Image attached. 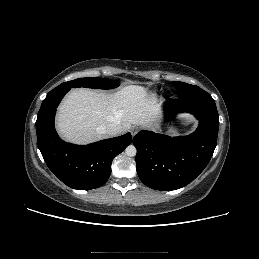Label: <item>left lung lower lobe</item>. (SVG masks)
Returning <instances> with one entry per match:
<instances>
[{
	"label": "left lung lower lobe",
	"instance_id": "left-lung-lower-lobe-1",
	"mask_svg": "<svg viewBox=\"0 0 259 259\" xmlns=\"http://www.w3.org/2000/svg\"><path fill=\"white\" fill-rule=\"evenodd\" d=\"M166 117L189 112L199 119L196 131L188 136L169 137L140 131L134 138L136 167L148 187L176 190L192 182L209 163L216 144L219 116L212 97L167 99Z\"/></svg>",
	"mask_w": 259,
	"mask_h": 259
}]
</instances>
